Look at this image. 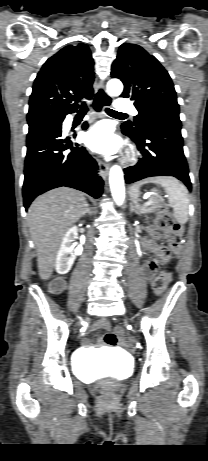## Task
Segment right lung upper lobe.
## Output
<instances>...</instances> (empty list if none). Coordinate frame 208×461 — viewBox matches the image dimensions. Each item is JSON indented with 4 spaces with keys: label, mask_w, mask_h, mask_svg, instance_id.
<instances>
[{
    "label": "right lung upper lobe",
    "mask_w": 208,
    "mask_h": 461,
    "mask_svg": "<svg viewBox=\"0 0 208 461\" xmlns=\"http://www.w3.org/2000/svg\"><path fill=\"white\" fill-rule=\"evenodd\" d=\"M94 61L84 43L69 45L50 57L33 85L27 118L61 119L78 102L93 97Z\"/></svg>",
    "instance_id": "obj_1"
}]
</instances>
